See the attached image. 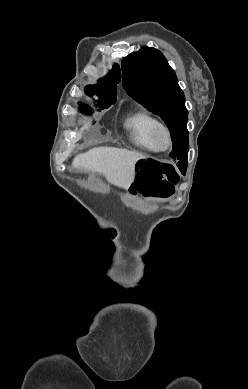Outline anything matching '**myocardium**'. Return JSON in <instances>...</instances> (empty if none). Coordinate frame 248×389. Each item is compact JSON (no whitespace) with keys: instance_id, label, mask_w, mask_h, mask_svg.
Here are the masks:
<instances>
[{"instance_id":"1","label":"myocardium","mask_w":248,"mask_h":389,"mask_svg":"<svg viewBox=\"0 0 248 389\" xmlns=\"http://www.w3.org/2000/svg\"><path fill=\"white\" fill-rule=\"evenodd\" d=\"M158 138L161 142H158ZM150 142L154 151H165L172 145L171 133L169 128L161 123L157 122L150 133Z\"/></svg>"}]
</instances>
